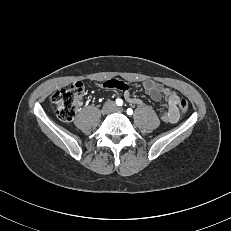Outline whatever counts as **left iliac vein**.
<instances>
[{
  "mask_svg": "<svg viewBox=\"0 0 231 231\" xmlns=\"http://www.w3.org/2000/svg\"><path fill=\"white\" fill-rule=\"evenodd\" d=\"M114 111L115 112H118V113H123L124 112V109L122 107H115L114 108Z\"/></svg>",
  "mask_w": 231,
  "mask_h": 231,
  "instance_id": "4c4485c4",
  "label": "left iliac vein"
}]
</instances>
